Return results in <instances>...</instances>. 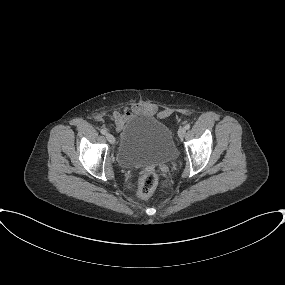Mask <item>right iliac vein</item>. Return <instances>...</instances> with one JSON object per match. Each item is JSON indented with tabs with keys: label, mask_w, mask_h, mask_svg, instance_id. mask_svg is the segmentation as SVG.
Instances as JSON below:
<instances>
[{
	"label": "right iliac vein",
	"mask_w": 285,
	"mask_h": 285,
	"mask_svg": "<svg viewBox=\"0 0 285 285\" xmlns=\"http://www.w3.org/2000/svg\"><path fill=\"white\" fill-rule=\"evenodd\" d=\"M106 138H107V140H108L111 144H114V142H115V137H114L112 134L107 133V134H106Z\"/></svg>",
	"instance_id": "right-iliac-vein-1"
}]
</instances>
